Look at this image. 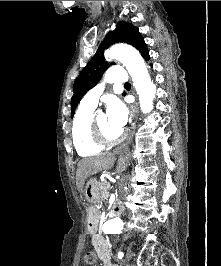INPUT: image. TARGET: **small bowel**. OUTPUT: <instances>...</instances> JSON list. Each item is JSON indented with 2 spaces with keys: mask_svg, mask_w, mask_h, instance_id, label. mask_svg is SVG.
I'll list each match as a JSON object with an SVG mask.
<instances>
[{
  "mask_svg": "<svg viewBox=\"0 0 221 266\" xmlns=\"http://www.w3.org/2000/svg\"><path fill=\"white\" fill-rule=\"evenodd\" d=\"M91 243L103 266H116L111 259V246L103 234L93 233Z\"/></svg>",
  "mask_w": 221,
  "mask_h": 266,
  "instance_id": "c3829d8e",
  "label": "small bowel"
}]
</instances>
